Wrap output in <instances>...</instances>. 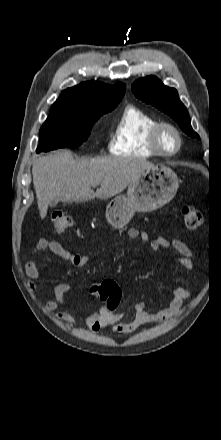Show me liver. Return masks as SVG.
<instances>
[{
  "label": "liver",
  "mask_w": 221,
  "mask_h": 440,
  "mask_svg": "<svg viewBox=\"0 0 221 440\" xmlns=\"http://www.w3.org/2000/svg\"><path fill=\"white\" fill-rule=\"evenodd\" d=\"M153 166L125 157L75 160L67 150L39 157L33 163L32 175L40 217H46L53 200L73 203L113 197ZM99 184L94 192L92 187Z\"/></svg>",
  "instance_id": "6515ba94"
}]
</instances>
